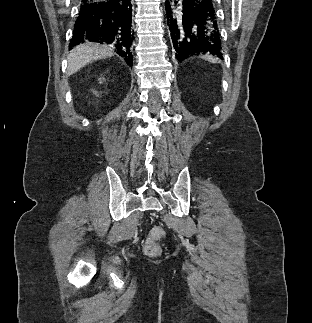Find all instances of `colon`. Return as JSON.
Instances as JSON below:
<instances>
[{"label": "colon", "instance_id": "obj_1", "mask_svg": "<svg viewBox=\"0 0 312 323\" xmlns=\"http://www.w3.org/2000/svg\"><path fill=\"white\" fill-rule=\"evenodd\" d=\"M163 235L164 231L161 229H153L150 232L143 245V250L147 255L156 256L159 254V246L156 239Z\"/></svg>", "mask_w": 312, "mask_h": 323}]
</instances>
